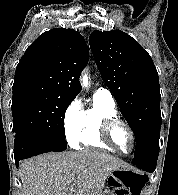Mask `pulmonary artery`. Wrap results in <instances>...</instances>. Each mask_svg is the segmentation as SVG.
Masks as SVG:
<instances>
[{
	"label": "pulmonary artery",
	"mask_w": 178,
	"mask_h": 195,
	"mask_svg": "<svg viewBox=\"0 0 178 195\" xmlns=\"http://www.w3.org/2000/svg\"><path fill=\"white\" fill-rule=\"evenodd\" d=\"M95 94L102 95V96L114 101L111 91L107 88L100 87L97 89Z\"/></svg>",
	"instance_id": "obj_1"
}]
</instances>
